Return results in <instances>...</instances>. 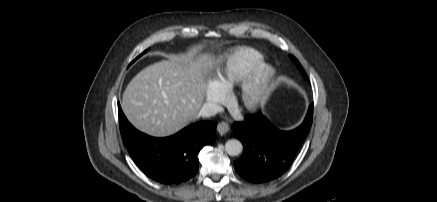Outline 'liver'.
I'll use <instances>...</instances> for the list:
<instances>
[{"instance_id":"liver-1","label":"liver","mask_w":437,"mask_h":202,"mask_svg":"<svg viewBox=\"0 0 437 202\" xmlns=\"http://www.w3.org/2000/svg\"><path fill=\"white\" fill-rule=\"evenodd\" d=\"M211 54L174 56L141 70L126 87L121 107L138 130L169 136L198 117L205 97V77L215 63Z\"/></svg>"}]
</instances>
